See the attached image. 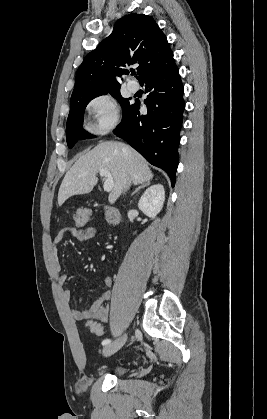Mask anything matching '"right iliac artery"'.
Wrapping results in <instances>:
<instances>
[{
  "instance_id": "1",
  "label": "right iliac artery",
  "mask_w": 267,
  "mask_h": 419,
  "mask_svg": "<svg viewBox=\"0 0 267 419\" xmlns=\"http://www.w3.org/2000/svg\"><path fill=\"white\" fill-rule=\"evenodd\" d=\"M111 342V340L110 339H104L103 341H102V345H107V344H109Z\"/></svg>"
}]
</instances>
